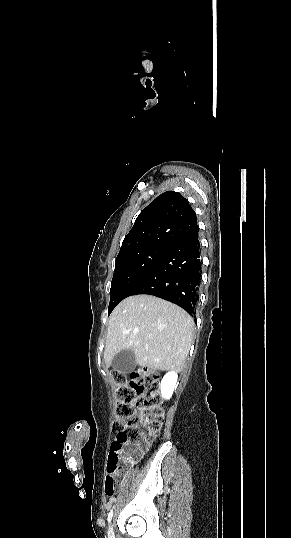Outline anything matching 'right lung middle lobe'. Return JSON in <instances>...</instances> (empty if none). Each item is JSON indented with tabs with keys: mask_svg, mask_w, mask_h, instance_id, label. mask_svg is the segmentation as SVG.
<instances>
[{
	"mask_svg": "<svg viewBox=\"0 0 291 538\" xmlns=\"http://www.w3.org/2000/svg\"><path fill=\"white\" fill-rule=\"evenodd\" d=\"M171 247L148 245L117 256L111 282L108 315L147 275Z\"/></svg>",
	"mask_w": 291,
	"mask_h": 538,
	"instance_id": "right-lung-middle-lobe-1",
	"label": "right lung middle lobe"
}]
</instances>
